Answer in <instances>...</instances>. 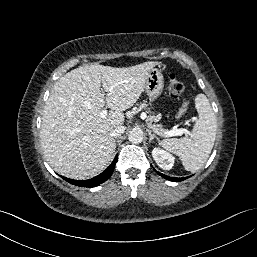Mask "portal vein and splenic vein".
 <instances>
[{
    "label": "portal vein and splenic vein",
    "mask_w": 257,
    "mask_h": 257,
    "mask_svg": "<svg viewBox=\"0 0 257 257\" xmlns=\"http://www.w3.org/2000/svg\"><path fill=\"white\" fill-rule=\"evenodd\" d=\"M107 114H108L107 109H103V110H101V112H100V116H101L102 118H104L105 116H107ZM141 118H142V119H145V118H146V114H145V113H142V114H141ZM184 133H187V130H186V129H182V128H180V129L173 128L172 130H167V131L165 132V135H166L167 137H171V136H179V135H182V134H184Z\"/></svg>",
    "instance_id": "obj_1"
}]
</instances>
